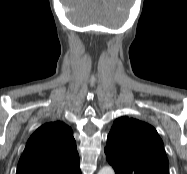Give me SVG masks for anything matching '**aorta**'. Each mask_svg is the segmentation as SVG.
<instances>
[{"mask_svg":"<svg viewBox=\"0 0 187 174\" xmlns=\"http://www.w3.org/2000/svg\"><path fill=\"white\" fill-rule=\"evenodd\" d=\"M98 174H115L114 170L110 166L103 167Z\"/></svg>","mask_w":187,"mask_h":174,"instance_id":"1","label":"aorta"}]
</instances>
